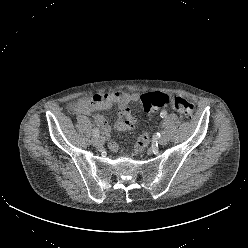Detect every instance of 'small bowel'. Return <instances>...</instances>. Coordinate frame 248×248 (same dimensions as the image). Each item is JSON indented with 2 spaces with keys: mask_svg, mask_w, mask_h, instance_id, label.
Returning a JSON list of instances; mask_svg holds the SVG:
<instances>
[{
  "mask_svg": "<svg viewBox=\"0 0 248 248\" xmlns=\"http://www.w3.org/2000/svg\"><path fill=\"white\" fill-rule=\"evenodd\" d=\"M140 98L141 95L139 93L114 91L79 98L70 102L68 104V109L74 114H92L95 122L103 129L106 136H109L111 127L107 120L99 114L98 111L107 110L113 104H117L120 120L115 126L116 129L120 131L131 130L135 127L136 119L131 113L129 104L140 100ZM108 146L112 151L118 150V144L113 140L109 141ZM120 154L123 157H128L131 154V149L128 146H123L120 149Z\"/></svg>",
  "mask_w": 248,
  "mask_h": 248,
  "instance_id": "c3829d8e",
  "label": "small bowel"
}]
</instances>
